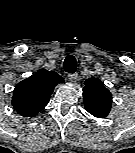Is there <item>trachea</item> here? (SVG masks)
<instances>
[{"label": "trachea", "mask_w": 135, "mask_h": 153, "mask_svg": "<svg viewBox=\"0 0 135 153\" xmlns=\"http://www.w3.org/2000/svg\"><path fill=\"white\" fill-rule=\"evenodd\" d=\"M64 71L68 73H74L76 71L77 62L73 55H68L64 60Z\"/></svg>", "instance_id": "trachea-1"}]
</instances>
